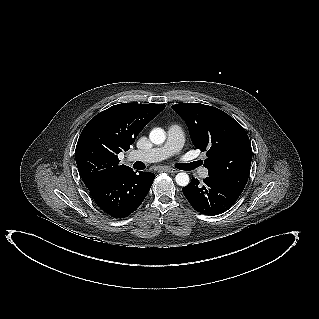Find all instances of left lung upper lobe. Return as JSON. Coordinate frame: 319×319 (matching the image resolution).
<instances>
[{
  "label": "left lung upper lobe",
  "mask_w": 319,
  "mask_h": 319,
  "mask_svg": "<svg viewBox=\"0 0 319 319\" xmlns=\"http://www.w3.org/2000/svg\"><path fill=\"white\" fill-rule=\"evenodd\" d=\"M186 122L193 144L206 151L209 176L243 190L252 160L250 140L243 127L227 113L204 104L172 105Z\"/></svg>",
  "instance_id": "obj_1"
}]
</instances>
